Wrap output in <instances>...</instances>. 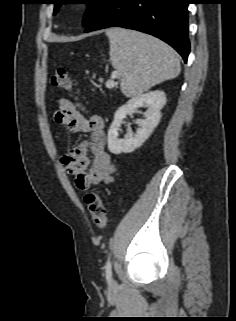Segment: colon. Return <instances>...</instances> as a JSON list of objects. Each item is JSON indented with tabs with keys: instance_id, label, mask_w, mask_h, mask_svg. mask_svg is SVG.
Masks as SVG:
<instances>
[{
	"instance_id": "5ec220e1",
	"label": "colon",
	"mask_w": 236,
	"mask_h": 321,
	"mask_svg": "<svg viewBox=\"0 0 236 321\" xmlns=\"http://www.w3.org/2000/svg\"><path fill=\"white\" fill-rule=\"evenodd\" d=\"M51 84L65 90L73 89V83L63 67H59L52 75ZM85 203L88 206L94 226L99 230H103L106 227L107 217L101 195L95 190H90L85 195Z\"/></svg>"
}]
</instances>
